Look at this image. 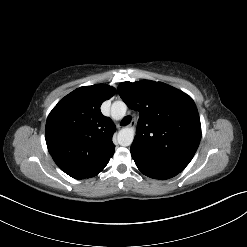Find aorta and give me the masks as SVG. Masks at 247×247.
Masks as SVG:
<instances>
[{"label": "aorta", "mask_w": 247, "mask_h": 247, "mask_svg": "<svg viewBox=\"0 0 247 247\" xmlns=\"http://www.w3.org/2000/svg\"><path fill=\"white\" fill-rule=\"evenodd\" d=\"M127 110V105L123 101H115L111 106V116L115 120L124 118ZM134 129L123 128L118 132L117 140L121 146H130L134 140Z\"/></svg>", "instance_id": "762f6f07"}]
</instances>
